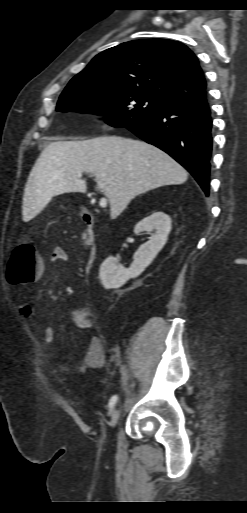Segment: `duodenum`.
<instances>
[{
  "instance_id": "obj_1",
  "label": "duodenum",
  "mask_w": 247,
  "mask_h": 513,
  "mask_svg": "<svg viewBox=\"0 0 247 513\" xmlns=\"http://www.w3.org/2000/svg\"><path fill=\"white\" fill-rule=\"evenodd\" d=\"M81 218L83 220V222L89 226V227H93V224H94V216L93 214L86 208H83L81 210ZM89 239L92 241V237L89 236ZM97 251L95 249H91L90 251V256H89V259L92 261V262H95V260L97 259Z\"/></svg>"
}]
</instances>
